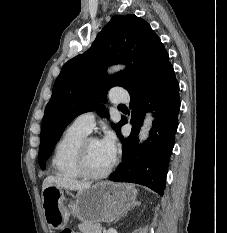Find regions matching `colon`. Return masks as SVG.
<instances>
[{"mask_svg":"<svg viewBox=\"0 0 227 233\" xmlns=\"http://www.w3.org/2000/svg\"><path fill=\"white\" fill-rule=\"evenodd\" d=\"M60 233H75L71 229L65 228Z\"/></svg>","mask_w":227,"mask_h":233,"instance_id":"colon-1","label":"colon"}]
</instances>
